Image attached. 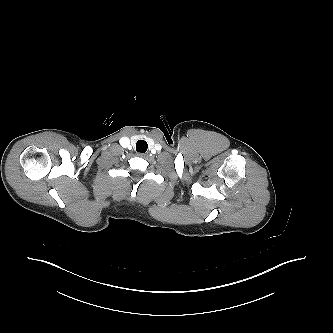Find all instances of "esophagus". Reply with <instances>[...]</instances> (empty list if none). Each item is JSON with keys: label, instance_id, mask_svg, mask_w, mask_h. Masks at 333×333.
Here are the masks:
<instances>
[{"label": "esophagus", "instance_id": "34e87169", "mask_svg": "<svg viewBox=\"0 0 333 333\" xmlns=\"http://www.w3.org/2000/svg\"><path fill=\"white\" fill-rule=\"evenodd\" d=\"M138 157H141V158H143V157H145L146 156V154L145 153H137L136 154Z\"/></svg>", "mask_w": 333, "mask_h": 333}]
</instances>
